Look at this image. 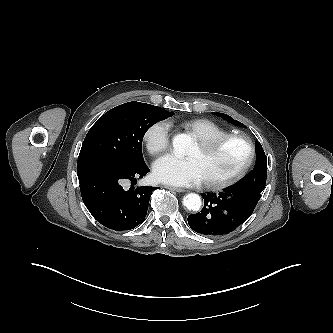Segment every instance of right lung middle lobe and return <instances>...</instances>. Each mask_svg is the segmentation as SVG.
Segmentation results:
<instances>
[{"mask_svg": "<svg viewBox=\"0 0 333 333\" xmlns=\"http://www.w3.org/2000/svg\"><path fill=\"white\" fill-rule=\"evenodd\" d=\"M174 113L141 102L119 105L102 115L87 133L78 160L106 157L129 165L144 163L142 140L156 122Z\"/></svg>", "mask_w": 333, "mask_h": 333, "instance_id": "right-lung-middle-lobe-1", "label": "right lung middle lobe"}]
</instances>
